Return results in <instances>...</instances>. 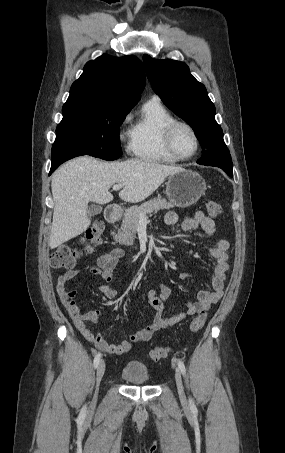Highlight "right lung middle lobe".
<instances>
[{
	"label": "right lung middle lobe",
	"instance_id": "1",
	"mask_svg": "<svg viewBox=\"0 0 285 453\" xmlns=\"http://www.w3.org/2000/svg\"><path fill=\"white\" fill-rule=\"evenodd\" d=\"M129 111L107 105L65 103L56 140L76 147L80 155L115 160L122 156L119 127Z\"/></svg>",
	"mask_w": 285,
	"mask_h": 453
}]
</instances>
